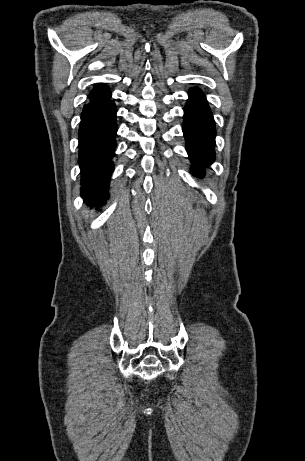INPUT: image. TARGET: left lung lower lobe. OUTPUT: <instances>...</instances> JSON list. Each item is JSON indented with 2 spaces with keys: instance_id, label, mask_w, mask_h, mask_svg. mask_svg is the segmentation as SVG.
Here are the masks:
<instances>
[{
  "instance_id": "obj_1",
  "label": "left lung lower lobe",
  "mask_w": 305,
  "mask_h": 461,
  "mask_svg": "<svg viewBox=\"0 0 305 461\" xmlns=\"http://www.w3.org/2000/svg\"><path fill=\"white\" fill-rule=\"evenodd\" d=\"M183 132L186 150L192 161L193 173L204 176V168L215 160V122L204 94L198 89L190 90L184 108Z\"/></svg>"
}]
</instances>
